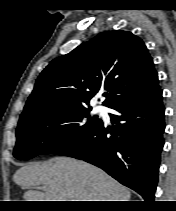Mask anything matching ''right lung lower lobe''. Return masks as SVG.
Instances as JSON below:
<instances>
[{"label":"right lung lower lobe","instance_id":"right-lung-lower-lobe-1","mask_svg":"<svg viewBox=\"0 0 176 211\" xmlns=\"http://www.w3.org/2000/svg\"><path fill=\"white\" fill-rule=\"evenodd\" d=\"M112 129L101 122L80 142L57 154L92 163L145 201L154 199L165 129L162 90L157 84L148 93L112 107ZM111 136H108V134Z\"/></svg>","mask_w":176,"mask_h":211}]
</instances>
